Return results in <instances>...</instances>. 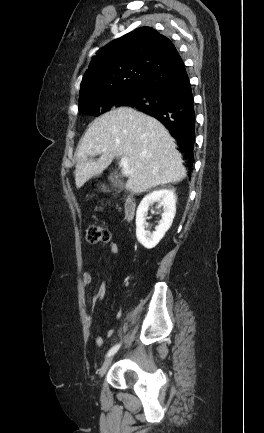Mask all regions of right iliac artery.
Listing matches in <instances>:
<instances>
[{"label": "right iliac artery", "instance_id": "1", "mask_svg": "<svg viewBox=\"0 0 264 433\" xmlns=\"http://www.w3.org/2000/svg\"><path fill=\"white\" fill-rule=\"evenodd\" d=\"M121 344H116L115 346H113L107 353V357L113 355L114 353L117 352V350L120 348Z\"/></svg>", "mask_w": 264, "mask_h": 433}]
</instances>
